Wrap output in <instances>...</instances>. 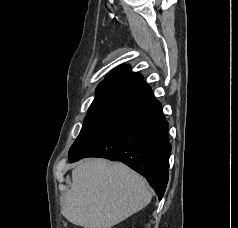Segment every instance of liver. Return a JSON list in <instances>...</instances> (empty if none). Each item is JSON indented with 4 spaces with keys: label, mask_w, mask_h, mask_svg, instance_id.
I'll use <instances>...</instances> for the list:
<instances>
[{
    "label": "liver",
    "mask_w": 238,
    "mask_h": 228,
    "mask_svg": "<svg viewBox=\"0 0 238 228\" xmlns=\"http://www.w3.org/2000/svg\"><path fill=\"white\" fill-rule=\"evenodd\" d=\"M152 191L146 180L126 165L105 159L80 161L64 194L63 216L84 228H111L146 207Z\"/></svg>",
    "instance_id": "obj_1"
}]
</instances>
